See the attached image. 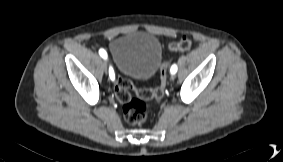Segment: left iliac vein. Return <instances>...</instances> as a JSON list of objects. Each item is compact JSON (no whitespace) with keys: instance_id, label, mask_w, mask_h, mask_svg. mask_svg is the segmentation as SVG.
Instances as JSON below:
<instances>
[{"instance_id":"4c4485c4","label":"left iliac vein","mask_w":283,"mask_h":162,"mask_svg":"<svg viewBox=\"0 0 283 162\" xmlns=\"http://www.w3.org/2000/svg\"><path fill=\"white\" fill-rule=\"evenodd\" d=\"M174 79H175V75L172 74V75H171V80H174Z\"/></svg>"}]
</instances>
